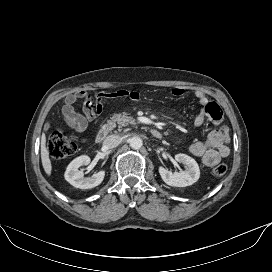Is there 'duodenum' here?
<instances>
[{"label":"duodenum","instance_id":"1","mask_svg":"<svg viewBox=\"0 0 272 272\" xmlns=\"http://www.w3.org/2000/svg\"><path fill=\"white\" fill-rule=\"evenodd\" d=\"M110 130H111V126L109 124L103 125L96 135V142L103 141L105 137L108 135V133L110 132ZM150 133L155 138H158V139L162 138V133L158 129H151Z\"/></svg>","mask_w":272,"mask_h":272}]
</instances>
